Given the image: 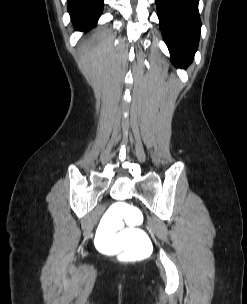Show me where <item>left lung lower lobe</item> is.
<instances>
[{
  "instance_id": "0a47b994",
  "label": "left lung lower lobe",
  "mask_w": 247,
  "mask_h": 304,
  "mask_svg": "<svg viewBox=\"0 0 247 304\" xmlns=\"http://www.w3.org/2000/svg\"><path fill=\"white\" fill-rule=\"evenodd\" d=\"M199 0H155L160 29L176 67L186 68L198 47Z\"/></svg>"
}]
</instances>
